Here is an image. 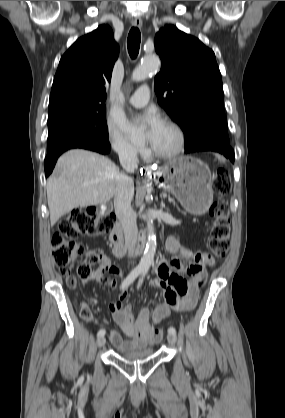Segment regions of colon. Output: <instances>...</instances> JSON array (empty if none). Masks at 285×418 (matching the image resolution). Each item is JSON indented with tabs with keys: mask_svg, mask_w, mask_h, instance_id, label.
<instances>
[{
	"mask_svg": "<svg viewBox=\"0 0 285 418\" xmlns=\"http://www.w3.org/2000/svg\"><path fill=\"white\" fill-rule=\"evenodd\" d=\"M214 190L219 198L211 205L209 213L212 219L209 247L211 253L204 256L205 264L212 266L215 258L224 257L230 247V218L229 208L224 198L230 191V183L225 179L223 169H218ZM117 218L109 214L96 218L91 211L74 209L58 224V229L53 233L51 245L53 248L54 260L63 276L67 275V268L84 253V246L76 240L77 235L97 236L106 234L116 224ZM207 258V261L205 260ZM104 263L101 255L95 254L90 261H82L78 264L77 273L82 278H89L92 275V267ZM193 301L185 304L187 309H192ZM163 331L157 330L152 343L158 342L163 337Z\"/></svg>",
	"mask_w": 285,
	"mask_h": 418,
	"instance_id": "5ec220e1",
	"label": "colon"
}]
</instances>
